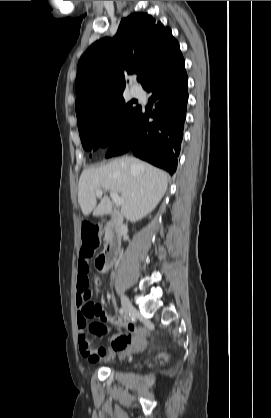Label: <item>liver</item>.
<instances>
[{"label": "liver", "instance_id": "6515ba94", "mask_svg": "<svg viewBox=\"0 0 271 418\" xmlns=\"http://www.w3.org/2000/svg\"><path fill=\"white\" fill-rule=\"evenodd\" d=\"M169 175L134 157L114 159L99 168L85 169L79 179L78 202L82 213L101 216L112 212V202L104 196L97 205L96 191L120 193L122 215L136 222L151 213L164 196Z\"/></svg>", "mask_w": 271, "mask_h": 418}]
</instances>
